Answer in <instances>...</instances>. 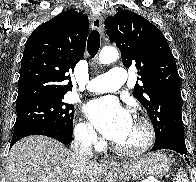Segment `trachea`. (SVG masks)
Segmentation results:
<instances>
[{
	"label": "trachea",
	"mask_w": 196,
	"mask_h": 182,
	"mask_svg": "<svg viewBox=\"0 0 196 182\" xmlns=\"http://www.w3.org/2000/svg\"><path fill=\"white\" fill-rule=\"evenodd\" d=\"M100 48V34L97 30L91 31L88 42H87V50L91 57H94Z\"/></svg>",
	"instance_id": "3493384b"
}]
</instances>
